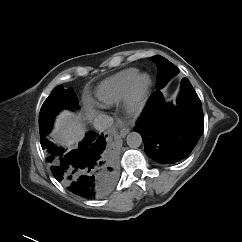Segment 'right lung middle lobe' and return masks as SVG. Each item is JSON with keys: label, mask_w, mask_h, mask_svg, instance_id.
Instances as JSON below:
<instances>
[{"label": "right lung middle lobe", "mask_w": 242, "mask_h": 242, "mask_svg": "<svg viewBox=\"0 0 242 242\" xmlns=\"http://www.w3.org/2000/svg\"><path fill=\"white\" fill-rule=\"evenodd\" d=\"M78 107V99L72 88L64 89L57 86L45 100L39 115L40 138L46 137L51 130L54 116L62 109Z\"/></svg>", "instance_id": "1"}]
</instances>
